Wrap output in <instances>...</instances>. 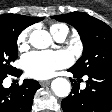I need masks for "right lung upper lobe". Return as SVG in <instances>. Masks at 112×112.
<instances>
[{"instance_id": "obj_1", "label": "right lung upper lobe", "mask_w": 112, "mask_h": 112, "mask_svg": "<svg viewBox=\"0 0 112 112\" xmlns=\"http://www.w3.org/2000/svg\"><path fill=\"white\" fill-rule=\"evenodd\" d=\"M12 17L20 18L22 21L25 22L27 27L29 25H32L42 20V18H39V17H28V16H22L18 14H5V15L0 16V27H5L7 25V21L11 19Z\"/></svg>"}]
</instances>
